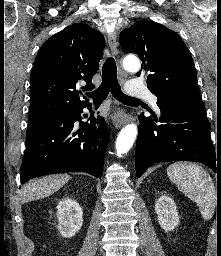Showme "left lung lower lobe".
<instances>
[{
    "label": "left lung lower lobe",
    "instance_id": "left-lung-lower-lobe-1",
    "mask_svg": "<svg viewBox=\"0 0 221 256\" xmlns=\"http://www.w3.org/2000/svg\"><path fill=\"white\" fill-rule=\"evenodd\" d=\"M158 106L163 123L159 126L154 122L157 118L141 114L135 152L137 177L155 163L181 160L204 163L220 175L205 107L186 103Z\"/></svg>",
    "mask_w": 221,
    "mask_h": 256
}]
</instances>
